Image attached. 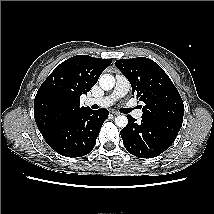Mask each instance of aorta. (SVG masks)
Here are the masks:
<instances>
[{"instance_id": "obj_1", "label": "aorta", "mask_w": 214, "mask_h": 214, "mask_svg": "<svg viewBox=\"0 0 214 214\" xmlns=\"http://www.w3.org/2000/svg\"><path fill=\"white\" fill-rule=\"evenodd\" d=\"M99 85L105 91L111 90L115 86V78L110 74H103L99 78ZM115 124L124 128L128 124V119L124 115H119L115 118Z\"/></svg>"}]
</instances>
